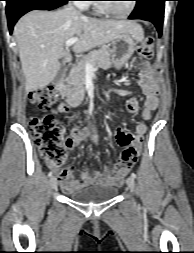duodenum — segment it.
<instances>
[{
    "instance_id": "1",
    "label": "duodenum",
    "mask_w": 194,
    "mask_h": 253,
    "mask_svg": "<svg viewBox=\"0 0 194 253\" xmlns=\"http://www.w3.org/2000/svg\"><path fill=\"white\" fill-rule=\"evenodd\" d=\"M65 79H66V75H64L60 81L57 83V87L60 88L64 82H65ZM59 110L62 111V112H68L69 111V106H66V105H60L59 106Z\"/></svg>"
}]
</instances>
